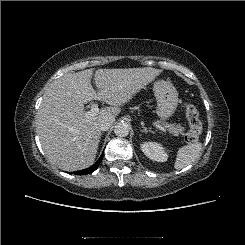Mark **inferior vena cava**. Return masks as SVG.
Returning <instances> with one entry per match:
<instances>
[{
  "label": "inferior vena cava",
  "instance_id": "602c4592",
  "mask_svg": "<svg viewBox=\"0 0 245 245\" xmlns=\"http://www.w3.org/2000/svg\"><path fill=\"white\" fill-rule=\"evenodd\" d=\"M114 121L115 119L113 117H106V118L101 119L98 124L99 129L101 131H107L111 127Z\"/></svg>",
  "mask_w": 245,
  "mask_h": 245
}]
</instances>
